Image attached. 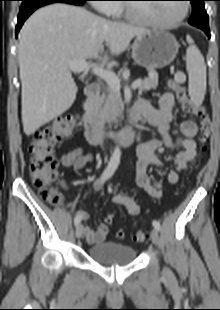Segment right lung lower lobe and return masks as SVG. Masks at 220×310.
Returning <instances> with one entry per match:
<instances>
[{
  "instance_id": "obj_1",
  "label": "right lung lower lobe",
  "mask_w": 220,
  "mask_h": 310,
  "mask_svg": "<svg viewBox=\"0 0 220 310\" xmlns=\"http://www.w3.org/2000/svg\"><path fill=\"white\" fill-rule=\"evenodd\" d=\"M85 1L87 0H28V1H23L20 7L19 15H18V23L16 26V37L24 21L39 7H42L47 4L55 3V2L68 3V4H73V5H83Z\"/></svg>"
}]
</instances>
